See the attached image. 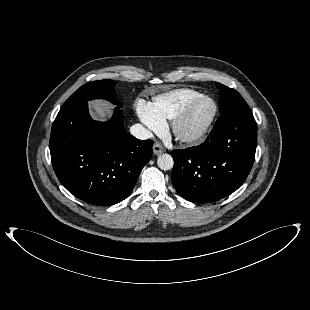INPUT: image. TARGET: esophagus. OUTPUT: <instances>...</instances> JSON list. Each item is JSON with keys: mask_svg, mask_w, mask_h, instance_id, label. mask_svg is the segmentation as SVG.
I'll return each instance as SVG.
<instances>
[{"mask_svg": "<svg viewBox=\"0 0 310 310\" xmlns=\"http://www.w3.org/2000/svg\"><path fill=\"white\" fill-rule=\"evenodd\" d=\"M165 151L164 147L160 144V143H155L153 145V153L155 155H160L161 153H163Z\"/></svg>", "mask_w": 310, "mask_h": 310, "instance_id": "34e87169", "label": "esophagus"}]
</instances>
